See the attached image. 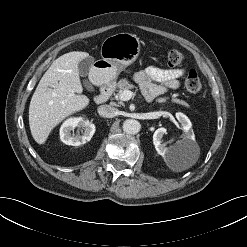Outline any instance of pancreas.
Here are the masks:
<instances>
[{
  "label": "pancreas",
  "instance_id": "1",
  "mask_svg": "<svg viewBox=\"0 0 247 247\" xmlns=\"http://www.w3.org/2000/svg\"><path fill=\"white\" fill-rule=\"evenodd\" d=\"M117 88H118V93L115 95V98L116 99H119V95H120V93L122 91L133 89L134 88V85L131 84L127 79H121L117 83ZM167 99L168 98H161V99H159V102H165ZM172 102L173 103H178V104L183 105V106H186V107L188 106V104L185 101L180 100V99H177V98H173L172 99ZM120 103L122 104V102H120Z\"/></svg>",
  "mask_w": 247,
  "mask_h": 247
}]
</instances>
